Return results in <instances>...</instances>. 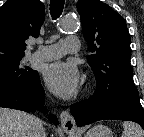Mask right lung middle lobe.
<instances>
[{"mask_svg":"<svg viewBox=\"0 0 144 137\" xmlns=\"http://www.w3.org/2000/svg\"><path fill=\"white\" fill-rule=\"evenodd\" d=\"M38 72L21 65V59L0 66V87L32 88L39 81Z\"/></svg>","mask_w":144,"mask_h":137,"instance_id":"1","label":"right lung middle lobe"}]
</instances>
